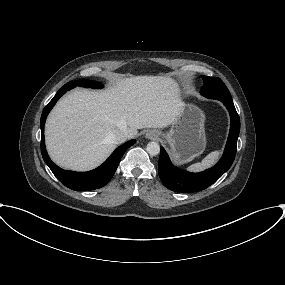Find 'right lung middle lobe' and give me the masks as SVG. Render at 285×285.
Returning <instances> with one entry per match:
<instances>
[{
	"mask_svg": "<svg viewBox=\"0 0 285 285\" xmlns=\"http://www.w3.org/2000/svg\"><path fill=\"white\" fill-rule=\"evenodd\" d=\"M66 86H69L70 88H74L75 86H83V87H91V88H102V85L99 82L91 81L87 79H80L76 81H70Z\"/></svg>",
	"mask_w": 285,
	"mask_h": 285,
	"instance_id": "dd1d6c3e",
	"label": "right lung middle lobe"
}]
</instances>
